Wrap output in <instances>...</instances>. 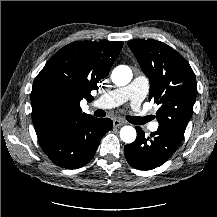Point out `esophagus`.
I'll list each match as a JSON object with an SVG mask.
<instances>
[{
  "label": "esophagus",
  "instance_id": "34e87169",
  "mask_svg": "<svg viewBox=\"0 0 217 217\" xmlns=\"http://www.w3.org/2000/svg\"><path fill=\"white\" fill-rule=\"evenodd\" d=\"M124 123L121 121V120H119V119H114L113 120V125H114V127H120V126H122Z\"/></svg>",
  "mask_w": 217,
  "mask_h": 217
}]
</instances>
